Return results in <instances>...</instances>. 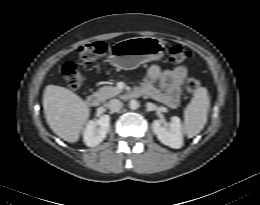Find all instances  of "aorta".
Masks as SVG:
<instances>
[{"label":"aorta","mask_w":260,"mask_h":205,"mask_svg":"<svg viewBox=\"0 0 260 205\" xmlns=\"http://www.w3.org/2000/svg\"><path fill=\"white\" fill-rule=\"evenodd\" d=\"M129 107L133 110H136L137 108H139V102L135 99H132L129 102Z\"/></svg>","instance_id":"obj_1"}]
</instances>
